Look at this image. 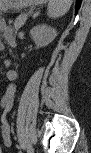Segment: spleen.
<instances>
[{"mask_svg":"<svg viewBox=\"0 0 91 153\" xmlns=\"http://www.w3.org/2000/svg\"><path fill=\"white\" fill-rule=\"evenodd\" d=\"M71 5V0H49L48 16L51 18L61 17L69 10Z\"/></svg>","mask_w":91,"mask_h":153,"instance_id":"3e777b00","label":"spleen"}]
</instances>
